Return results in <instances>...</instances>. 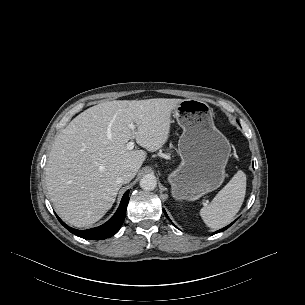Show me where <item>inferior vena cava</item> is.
Here are the masks:
<instances>
[{"label":"inferior vena cava","instance_id":"1","mask_svg":"<svg viewBox=\"0 0 305 305\" xmlns=\"http://www.w3.org/2000/svg\"><path fill=\"white\" fill-rule=\"evenodd\" d=\"M135 172L131 169H122L119 171L117 180L121 184L129 183L135 176Z\"/></svg>","mask_w":305,"mask_h":305}]
</instances>
